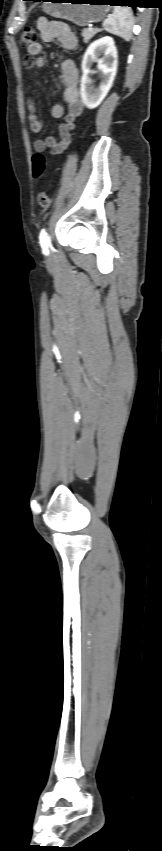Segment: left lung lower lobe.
Listing matches in <instances>:
<instances>
[{
	"label": "left lung lower lobe",
	"mask_w": 162,
	"mask_h": 851,
	"mask_svg": "<svg viewBox=\"0 0 162 851\" xmlns=\"http://www.w3.org/2000/svg\"><path fill=\"white\" fill-rule=\"evenodd\" d=\"M35 1H43V0H35ZM107 3H110L111 5H123V6L133 7L132 4H134L135 2L133 0H107Z\"/></svg>",
	"instance_id": "left-lung-lower-lobe-1"
}]
</instances>
